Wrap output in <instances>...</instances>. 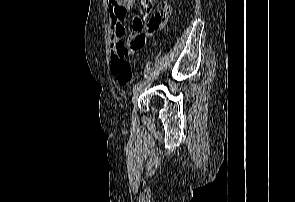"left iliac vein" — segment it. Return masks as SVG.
I'll return each mask as SVG.
<instances>
[{"label": "left iliac vein", "instance_id": "4c4485c4", "mask_svg": "<svg viewBox=\"0 0 295 202\" xmlns=\"http://www.w3.org/2000/svg\"><path fill=\"white\" fill-rule=\"evenodd\" d=\"M146 84H143L133 91L132 102H135L141 93L145 90Z\"/></svg>", "mask_w": 295, "mask_h": 202}]
</instances>
